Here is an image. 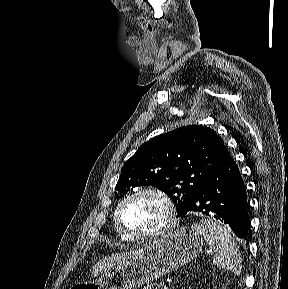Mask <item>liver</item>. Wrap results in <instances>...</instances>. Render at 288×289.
<instances>
[{
    "instance_id": "liver-1",
    "label": "liver",
    "mask_w": 288,
    "mask_h": 289,
    "mask_svg": "<svg viewBox=\"0 0 288 289\" xmlns=\"http://www.w3.org/2000/svg\"><path fill=\"white\" fill-rule=\"evenodd\" d=\"M140 252L141 250H135L126 253H117L110 257H105L93 267L92 275H98L99 273L108 271L118 264L126 263L129 260L135 258L138 254H140Z\"/></svg>"
}]
</instances>
